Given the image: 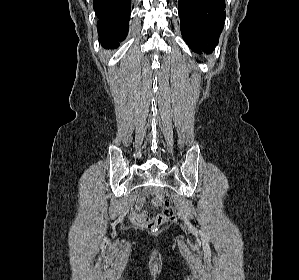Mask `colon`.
<instances>
[{"mask_svg":"<svg viewBox=\"0 0 299 280\" xmlns=\"http://www.w3.org/2000/svg\"><path fill=\"white\" fill-rule=\"evenodd\" d=\"M153 203L161 207L162 211L149 219L147 227L152 232H156L160 226L175 221L176 215L170 200L163 194L156 195L153 199Z\"/></svg>","mask_w":299,"mask_h":280,"instance_id":"obj_1","label":"colon"}]
</instances>
